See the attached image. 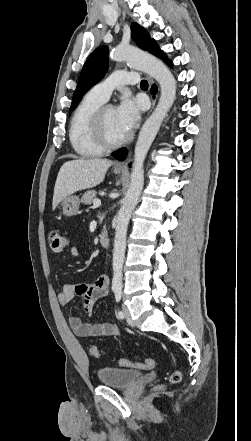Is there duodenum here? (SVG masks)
<instances>
[{"mask_svg": "<svg viewBox=\"0 0 251 441\" xmlns=\"http://www.w3.org/2000/svg\"><path fill=\"white\" fill-rule=\"evenodd\" d=\"M100 245L104 248H107L110 245V239L107 235L103 234L99 238Z\"/></svg>", "mask_w": 251, "mask_h": 441, "instance_id": "1", "label": "duodenum"}]
</instances>
